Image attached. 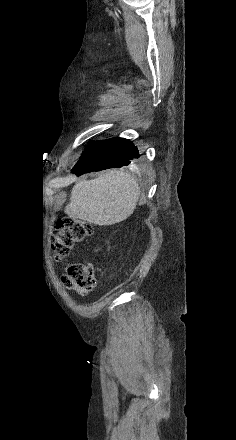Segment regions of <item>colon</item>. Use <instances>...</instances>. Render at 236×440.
<instances>
[{"label": "colon", "instance_id": "colon-1", "mask_svg": "<svg viewBox=\"0 0 236 440\" xmlns=\"http://www.w3.org/2000/svg\"><path fill=\"white\" fill-rule=\"evenodd\" d=\"M92 232V225L85 221L75 218L58 220L54 242L56 260H64L74 246L83 242ZM63 282L68 289L80 294L90 292L96 285L93 268L87 263H71L63 277Z\"/></svg>", "mask_w": 236, "mask_h": 440}]
</instances>
